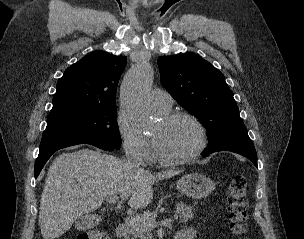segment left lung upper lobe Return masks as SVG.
Listing matches in <instances>:
<instances>
[{"label":"left lung upper lobe","instance_id":"5c2ea615","mask_svg":"<svg viewBox=\"0 0 304 239\" xmlns=\"http://www.w3.org/2000/svg\"><path fill=\"white\" fill-rule=\"evenodd\" d=\"M161 83L207 129L210 147L254 146L224 75L196 54L158 58Z\"/></svg>","mask_w":304,"mask_h":239}]
</instances>
